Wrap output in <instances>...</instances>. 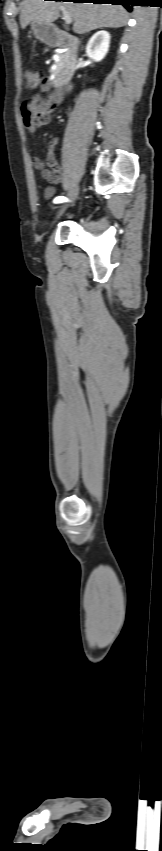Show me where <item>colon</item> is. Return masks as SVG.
Listing matches in <instances>:
<instances>
[{
    "label": "colon",
    "instance_id": "colon-1",
    "mask_svg": "<svg viewBox=\"0 0 162 851\" xmlns=\"http://www.w3.org/2000/svg\"><path fill=\"white\" fill-rule=\"evenodd\" d=\"M24 82L26 87L32 90L43 82V76L37 70H27L24 73Z\"/></svg>",
    "mask_w": 162,
    "mask_h": 851
}]
</instances>
